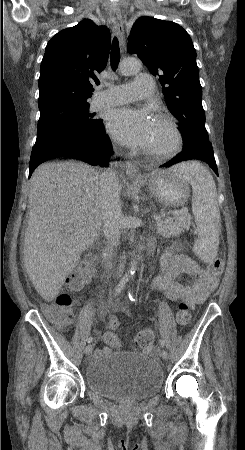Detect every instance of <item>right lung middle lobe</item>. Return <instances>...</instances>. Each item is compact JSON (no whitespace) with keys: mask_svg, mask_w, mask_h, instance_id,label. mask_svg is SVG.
Returning a JSON list of instances; mask_svg holds the SVG:
<instances>
[{"mask_svg":"<svg viewBox=\"0 0 245 450\" xmlns=\"http://www.w3.org/2000/svg\"><path fill=\"white\" fill-rule=\"evenodd\" d=\"M89 104H56L40 109L37 139L33 151H38L68 139L90 137L100 119L89 113Z\"/></svg>","mask_w":245,"mask_h":450,"instance_id":"dd1d6c3e","label":"right lung middle lobe"}]
</instances>
